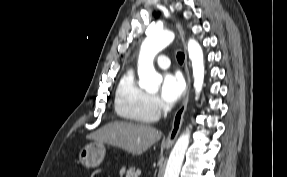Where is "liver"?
Instances as JSON below:
<instances>
[{
	"mask_svg": "<svg viewBox=\"0 0 287 177\" xmlns=\"http://www.w3.org/2000/svg\"><path fill=\"white\" fill-rule=\"evenodd\" d=\"M161 132L145 124L114 121L87 136L99 143H107L133 155H140L161 138Z\"/></svg>",
	"mask_w": 287,
	"mask_h": 177,
	"instance_id": "6515ba94",
	"label": "liver"
}]
</instances>
